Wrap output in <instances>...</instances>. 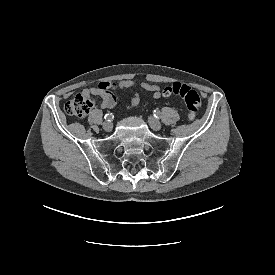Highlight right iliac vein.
<instances>
[{"mask_svg": "<svg viewBox=\"0 0 275 275\" xmlns=\"http://www.w3.org/2000/svg\"><path fill=\"white\" fill-rule=\"evenodd\" d=\"M112 128H113V123L111 121H106V122L103 123V129L105 131L109 132V131L112 130Z\"/></svg>", "mask_w": 275, "mask_h": 275, "instance_id": "right-iliac-vein-1", "label": "right iliac vein"}]
</instances>
